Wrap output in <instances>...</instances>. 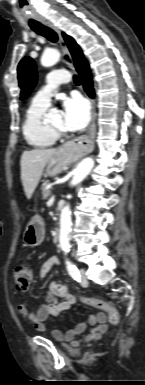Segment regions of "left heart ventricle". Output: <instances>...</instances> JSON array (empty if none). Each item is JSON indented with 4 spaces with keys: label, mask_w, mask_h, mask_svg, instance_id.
Wrapping results in <instances>:
<instances>
[{
    "label": "left heart ventricle",
    "mask_w": 145,
    "mask_h": 385,
    "mask_svg": "<svg viewBox=\"0 0 145 385\" xmlns=\"http://www.w3.org/2000/svg\"><path fill=\"white\" fill-rule=\"evenodd\" d=\"M49 123L54 126V127H57V128H60V129H66L65 126H64V117H63V114L61 113H58L56 115H54L50 120H49Z\"/></svg>",
    "instance_id": "b2bd125f"
}]
</instances>
